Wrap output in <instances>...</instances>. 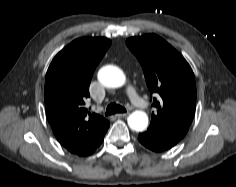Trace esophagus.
<instances>
[{
    "label": "esophagus",
    "instance_id": "1",
    "mask_svg": "<svg viewBox=\"0 0 236 187\" xmlns=\"http://www.w3.org/2000/svg\"><path fill=\"white\" fill-rule=\"evenodd\" d=\"M129 115V113H118V114H116L115 116L117 117V118H123V117H126V116H128Z\"/></svg>",
    "mask_w": 236,
    "mask_h": 187
}]
</instances>
